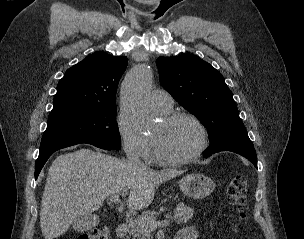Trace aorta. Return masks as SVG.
Returning <instances> with one entry per match:
<instances>
[{"instance_id": "1", "label": "aorta", "mask_w": 304, "mask_h": 239, "mask_svg": "<svg viewBox=\"0 0 304 239\" xmlns=\"http://www.w3.org/2000/svg\"><path fill=\"white\" fill-rule=\"evenodd\" d=\"M151 85V72L145 64H142L128 74L121 86L122 105L131 112L134 120L143 126L151 120L148 101Z\"/></svg>"}]
</instances>
